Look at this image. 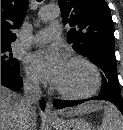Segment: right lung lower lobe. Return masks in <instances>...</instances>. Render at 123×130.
<instances>
[{"label":"right lung lower lobe","instance_id":"right-lung-lower-lobe-1","mask_svg":"<svg viewBox=\"0 0 123 130\" xmlns=\"http://www.w3.org/2000/svg\"><path fill=\"white\" fill-rule=\"evenodd\" d=\"M19 74L20 73H14L6 69H1V85L12 90L20 89L23 83ZM40 105L41 108L44 110L45 102L43 100L41 101Z\"/></svg>","mask_w":123,"mask_h":130}]
</instances>
